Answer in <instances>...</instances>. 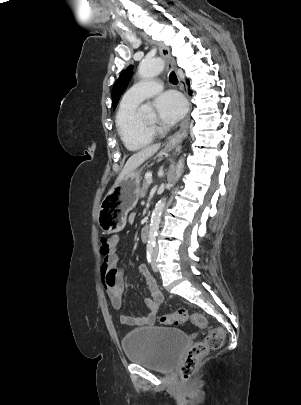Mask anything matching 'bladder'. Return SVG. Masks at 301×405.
<instances>
[{
	"mask_svg": "<svg viewBox=\"0 0 301 405\" xmlns=\"http://www.w3.org/2000/svg\"><path fill=\"white\" fill-rule=\"evenodd\" d=\"M188 343L184 332L170 327H143L127 333L122 346L127 360L157 372H169Z\"/></svg>",
	"mask_w": 301,
	"mask_h": 405,
	"instance_id": "31cf9c89",
	"label": "bladder"
}]
</instances>
